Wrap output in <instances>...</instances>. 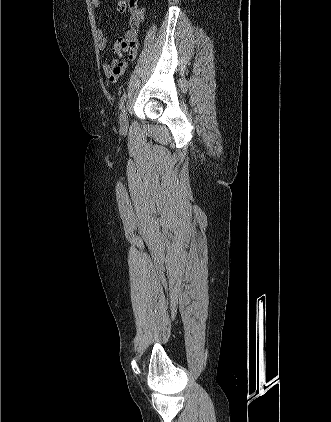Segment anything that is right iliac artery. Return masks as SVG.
Segmentation results:
<instances>
[{"label":"right iliac artery","instance_id":"82829eb1","mask_svg":"<svg viewBox=\"0 0 331 422\" xmlns=\"http://www.w3.org/2000/svg\"><path fill=\"white\" fill-rule=\"evenodd\" d=\"M126 94H124L122 97H121V99H120V102H119V109H122L123 108V105H124V103H125V101H126Z\"/></svg>","mask_w":331,"mask_h":422}]
</instances>
